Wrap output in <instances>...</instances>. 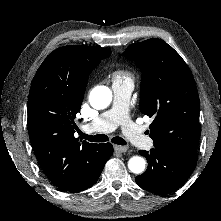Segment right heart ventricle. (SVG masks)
Returning a JSON list of instances; mask_svg holds the SVG:
<instances>
[{
    "instance_id": "e07e8e85",
    "label": "right heart ventricle",
    "mask_w": 221,
    "mask_h": 221,
    "mask_svg": "<svg viewBox=\"0 0 221 221\" xmlns=\"http://www.w3.org/2000/svg\"><path fill=\"white\" fill-rule=\"evenodd\" d=\"M133 75L132 72L127 69H119L113 74V80L122 82V81H132Z\"/></svg>"
}]
</instances>
